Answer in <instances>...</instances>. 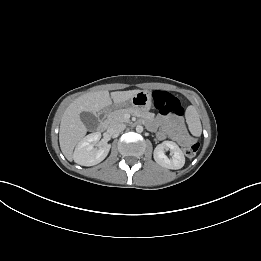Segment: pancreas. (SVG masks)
I'll return each mask as SVG.
<instances>
[{
    "instance_id": "obj_1",
    "label": "pancreas",
    "mask_w": 261,
    "mask_h": 261,
    "mask_svg": "<svg viewBox=\"0 0 261 261\" xmlns=\"http://www.w3.org/2000/svg\"><path fill=\"white\" fill-rule=\"evenodd\" d=\"M131 114V115H137V116H149V113H144L143 111L133 108V107H128L125 109H119L116 110L112 113H110L106 119V123L111 126L115 123H126L129 122V119L126 118V115Z\"/></svg>"
}]
</instances>
